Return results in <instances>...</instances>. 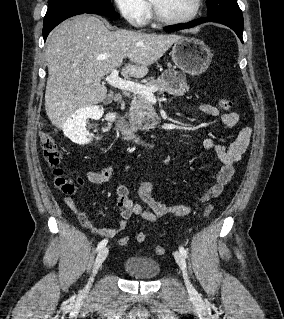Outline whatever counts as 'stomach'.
Segmentation results:
<instances>
[{
	"label": "stomach",
	"mask_w": 284,
	"mask_h": 319,
	"mask_svg": "<svg viewBox=\"0 0 284 319\" xmlns=\"http://www.w3.org/2000/svg\"><path fill=\"white\" fill-rule=\"evenodd\" d=\"M171 56L175 65L190 75L205 72L212 60L210 48L202 40L193 37H182L176 41Z\"/></svg>",
	"instance_id": "1"
}]
</instances>
